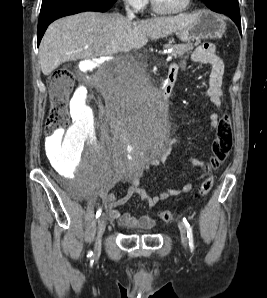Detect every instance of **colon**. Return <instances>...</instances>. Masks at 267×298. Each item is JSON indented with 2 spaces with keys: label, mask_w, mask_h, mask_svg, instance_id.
Masks as SVG:
<instances>
[{
  "label": "colon",
  "mask_w": 267,
  "mask_h": 298,
  "mask_svg": "<svg viewBox=\"0 0 267 298\" xmlns=\"http://www.w3.org/2000/svg\"><path fill=\"white\" fill-rule=\"evenodd\" d=\"M73 75L67 68H61L52 73L49 79L51 108L46 119V130L49 136L65 128L69 124L68 102L73 89ZM233 144V133L228 116L221 117L212 143L210 168L217 169L227 159ZM213 177L208 176L199 187V195L206 196L213 187ZM165 222L175 220L176 213L170 210L159 212Z\"/></svg>",
  "instance_id": "5ec220e1"
}]
</instances>
